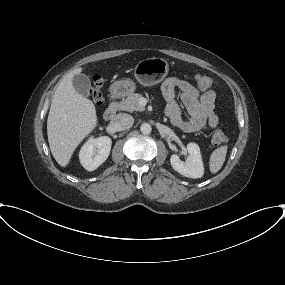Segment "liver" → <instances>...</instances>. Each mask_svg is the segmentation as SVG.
Segmentation results:
<instances>
[{"mask_svg":"<svg viewBox=\"0 0 285 285\" xmlns=\"http://www.w3.org/2000/svg\"><path fill=\"white\" fill-rule=\"evenodd\" d=\"M82 68L67 73L57 86L47 119V135L51 153L56 162L66 167L74 150L97 125L94 104L79 94L73 86V77Z\"/></svg>","mask_w":285,"mask_h":285,"instance_id":"liver-1","label":"liver"}]
</instances>
